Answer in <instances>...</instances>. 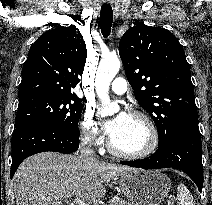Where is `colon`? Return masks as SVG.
Listing matches in <instances>:
<instances>
[{"label": "colon", "mask_w": 212, "mask_h": 205, "mask_svg": "<svg viewBox=\"0 0 212 205\" xmlns=\"http://www.w3.org/2000/svg\"><path fill=\"white\" fill-rule=\"evenodd\" d=\"M168 205H174V203L172 201H170Z\"/></svg>", "instance_id": "colon-1"}]
</instances>
